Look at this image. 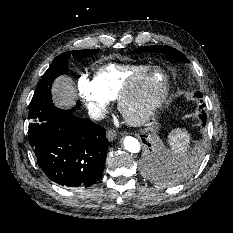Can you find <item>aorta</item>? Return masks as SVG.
Instances as JSON below:
<instances>
[{
	"instance_id": "1",
	"label": "aorta",
	"mask_w": 233,
	"mask_h": 233,
	"mask_svg": "<svg viewBox=\"0 0 233 233\" xmlns=\"http://www.w3.org/2000/svg\"><path fill=\"white\" fill-rule=\"evenodd\" d=\"M124 148L131 153H138L141 149L139 141L131 136H126L123 140Z\"/></svg>"
}]
</instances>
